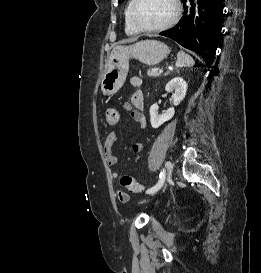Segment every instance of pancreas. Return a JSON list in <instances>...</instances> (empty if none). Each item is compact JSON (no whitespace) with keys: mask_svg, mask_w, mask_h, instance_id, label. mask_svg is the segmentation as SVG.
<instances>
[{"mask_svg":"<svg viewBox=\"0 0 261 273\" xmlns=\"http://www.w3.org/2000/svg\"><path fill=\"white\" fill-rule=\"evenodd\" d=\"M147 75L149 77H159L160 76V73L158 72V69L157 68H151L147 71Z\"/></svg>","mask_w":261,"mask_h":273,"instance_id":"obj_1","label":"pancreas"}]
</instances>
